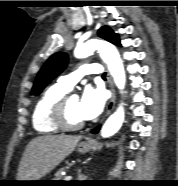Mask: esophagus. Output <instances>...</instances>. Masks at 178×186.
<instances>
[{"label": "esophagus", "instance_id": "34e87169", "mask_svg": "<svg viewBox=\"0 0 178 186\" xmlns=\"http://www.w3.org/2000/svg\"><path fill=\"white\" fill-rule=\"evenodd\" d=\"M107 78H108V82H109L110 90H111V99H110L108 106H107L106 116H108L111 113V111L115 105V99H116L113 80H112L110 73L107 74Z\"/></svg>", "mask_w": 178, "mask_h": 186}]
</instances>
